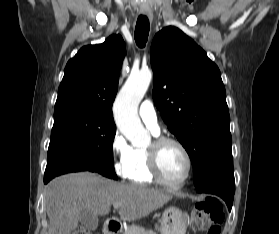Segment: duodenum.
Returning a JSON list of instances; mask_svg holds the SVG:
<instances>
[{"label":"duodenum","mask_w":279,"mask_h":234,"mask_svg":"<svg viewBox=\"0 0 279 234\" xmlns=\"http://www.w3.org/2000/svg\"><path fill=\"white\" fill-rule=\"evenodd\" d=\"M121 227L119 223L114 219H109L105 222L103 228V234H119Z\"/></svg>","instance_id":"1"}]
</instances>
